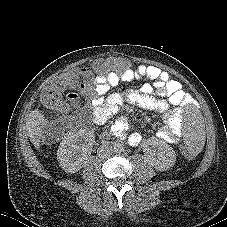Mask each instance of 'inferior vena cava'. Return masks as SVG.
Segmentation results:
<instances>
[{
  "mask_svg": "<svg viewBox=\"0 0 227 227\" xmlns=\"http://www.w3.org/2000/svg\"><path fill=\"white\" fill-rule=\"evenodd\" d=\"M113 149L109 144H103L98 148V156L100 158H108L112 155Z\"/></svg>",
  "mask_w": 227,
  "mask_h": 227,
  "instance_id": "602c4592",
  "label": "inferior vena cava"
}]
</instances>
